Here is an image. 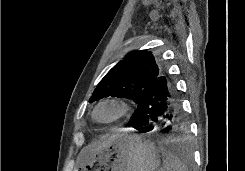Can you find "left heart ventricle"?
Wrapping results in <instances>:
<instances>
[{
  "label": "left heart ventricle",
  "instance_id": "b2bd125f",
  "mask_svg": "<svg viewBox=\"0 0 245 171\" xmlns=\"http://www.w3.org/2000/svg\"><path fill=\"white\" fill-rule=\"evenodd\" d=\"M117 114V108L114 106H103L99 109L97 116L101 120H108Z\"/></svg>",
  "mask_w": 245,
  "mask_h": 171
}]
</instances>
